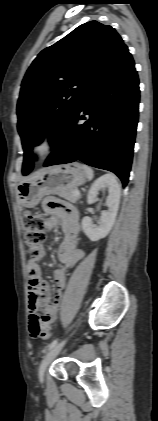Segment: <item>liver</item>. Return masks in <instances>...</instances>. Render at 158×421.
I'll return each instance as SVG.
<instances>
[{"label": "liver", "instance_id": "1", "mask_svg": "<svg viewBox=\"0 0 158 421\" xmlns=\"http://www.w3.org/2000/svg\"><path fill=\"white\" fill-rule=\"evenodd\" d=\"M46 169H41L38 170L37 172H35L31 177L27 178L25 181L31 180L32 178H35L37 176H39L40 174H42Z\"/></svg>", "mask_w": 158, "mask_h": 421}]
</instances>
